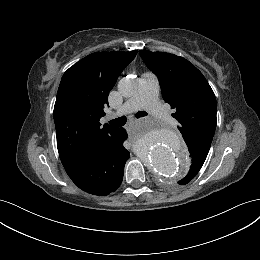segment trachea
I'll return each mask as SVG.
<instances>
[{
	"label": "trachea",
	"mask_w": 260,
	"mask_h": 260,
	"mask_svg": "<svg viewBox=\"0 0 260 260\" xmlns=\"http://www.w3.org/2000/svg\"><path fill=\"white\" fill-rule=\"evenodd\" d=\"M137 118L147 116L145 111H140L135 114ZM127 122V118L125 116L119 117L117 119L110 120L109 123L114 127H122Z\"/></svg>",
	"instance_id": "trachea-1"
}]
</instances>
